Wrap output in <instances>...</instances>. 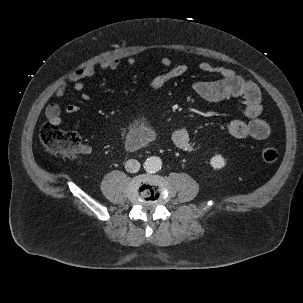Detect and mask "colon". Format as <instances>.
<instances>
[{"label": "colon", "mask_w": 303, "mask_h": 303, "mask_svg": "<svg viewBox=\"0 0 303 303\" xmlns=\"http://www.w3.org/2000/svg\"><path fill=\"white\" fill-rule=\"evenodd\" d=\"M40 140L46 149L70 160L77 159L80 154V136L74 131L60 129L49 122L42 126ZM278 156L277 149L272 146L264 147L261 151V157L267 163L275 162Z\"/></svg>", "instance_id": "colon-1"}]
</instances>
